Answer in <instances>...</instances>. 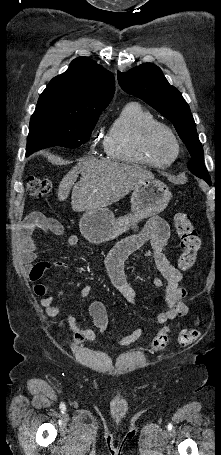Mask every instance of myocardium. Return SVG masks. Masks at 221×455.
<instances>
[{
  "instance_id": "myocardium-1",
  "label": "myocardium",
  "mask_w": 221,
  "mask_h": 455,
  "mask_svg": "<svg viewBox=\"0 0 221 455\" xmlns=\"http://www.w3.org/2000/svg\"><path fill=\"white\" fill-rule=\"evenodd\" d=\"M147 142L155 153L167 161L174 160L180 151L179 140L173 130L160 122H156L148 129ZM167 143L172 145V151L168 149Z\"/></svg>"
}]
</instances>
